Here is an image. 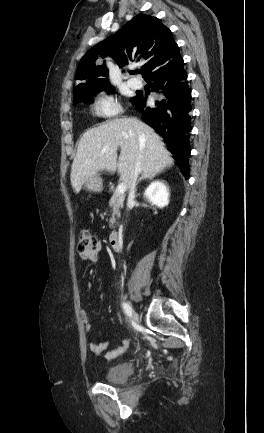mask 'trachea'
<instances>
[{
    "label": "trachea",
    "mask_w": 264,
    "mask_h": 433,
    "mask_svg": "<svg viewBox=\"0 0 264 433\" xmlns=\"http://www.w3.org/2000/svg\"><path fill=\"white\" fill-rule=\"evenodd\" d=\"M133 73H134V74H137V73H138V70L134 71Z\"/></svg>",
    "instance_id": "trachea-1"
}]
</instances>
